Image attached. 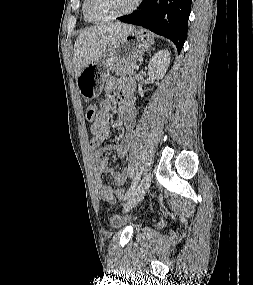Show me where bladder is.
Listing matches in <instances>:
<instances>
[{"instance_id": "obj_1", "label": "bladder", "mask_w": 253, "mask_h": 285, "mask_svg": "<svg viewBox=\"0 0 253 285\" xmlns=\"http://www.w3.org/2000/svg\"><path fill=\"white\" fill-rule=\"evenodd\" d=\"M109 222H110L111 226L118 228V227H122V226H126L128 224H131L133 222V217L127 216V215L119 213V212H115V213L111 214V216L109 218Z\"/></svg>"}]
</instances>
